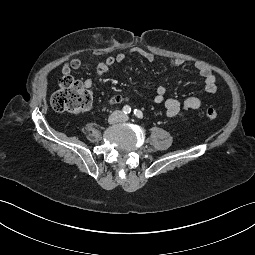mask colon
I'll list each match as a JSON object with an SVG mask.
<instances>
[{
    "label": "colon",
    "mask_w": 255,
    "mask_h": 255,
    "mask_svg": "<svg viewBox=\"0 0 255 255\" xmlns=\"http://www.w3.org/2000/svg\"><path fill=\"white\" fill-rule=\"evenodd\" d=\"M92 104V93L84 88L80 81L69 75L60 79L59 88L51 96V106L58 112L79 114L89 110ZM204 114L210 120L218 117L213 107H207Z\"/></svg>",
    "instance_id": "5ec220e1"
}]
</instances>
